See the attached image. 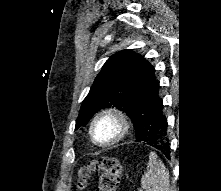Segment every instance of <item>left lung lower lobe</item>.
<instances>
[{"mask_svg":"<svg viewBox=\"0 0 221 191\" xmlns=\"http://www.w3.org/2000/svg\"><path fill=\"white\" fill-rule=\"evenodd\" d=\"M154 71L153 66L142 58L132 88L135 135L137 142H146L170 158L168 123Z\"/></svg>","mask_w":221,"mask_h":191,"instance_id":"obj_1","label":"left lung lower lobe"}]
</instances>
